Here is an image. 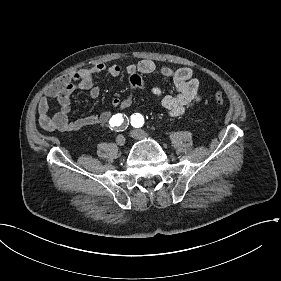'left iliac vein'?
<instances>
[{
    "label": "left iliac vein",
    "instance_id": "4c4485c4",
    "mask_svg": "<svg viewBox=\"0 0 281 281\" xmlns=\"http://www.w3.org/2000/svg\"><path fill=\"white\" fill-rule=\"evenodd\" d=\"M130 135L135 139H146L150 137L148 133H146L144 130L141 129L132 130L130 132Z\"/></svg>",
    "mask_w": 281,
    "mask_h": 281
}]
</instances>
